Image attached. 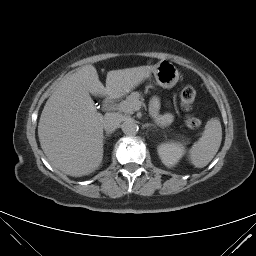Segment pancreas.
<instances>
[{"label": "pancreas", "mask_w": 256, "mask_h": 256, "mask_svg": "<svg viewBox=\"0 0 256 256\" xmlns=\"http://www.w3.org/2000/svg\"><path fill=\"white\" fill-rule=\"evenodd\" d=\"M141 94L139 92H132L124 101L118 104L119 111L132 114L135 109V105L140 102Z\"/></svg>", "instance_id": "pancreas-1"}]
</instances>
